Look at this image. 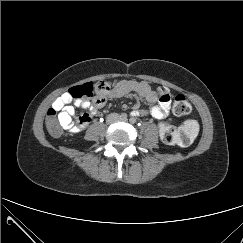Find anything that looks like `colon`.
Listing matches in <instances>:
<instances>
[{"label":"colon","mask_w":243,"mask_h":243,"mask_svg":"<svg viewBox=\"0 0 243 243\" xmlns=\"http://www.w3.org/2000/svg\"><path fill=\"white\" fill-rule=\"evenodd\" d=\"M110 84L106 81H99L97 83H84L72 87L68 92L73 99H85L93 97L94 93L106 94L110 90ZM161 100H165L170 96L169 91L166 88L156 89ZM191 111V105L188 100L181 94L174 97L173 112L178 116L189 114ZM90 121L88 114H83L79 118L80 124H85ZM46 127L48 132L55 137L62 134V125L58 119L57 111L54 108H50L46 115ZM160 137L166 144H177L181 146L189 145L197 136L199 125L195 120L185 121L179 129L174 128L168 124H160Z\"/></svg>","instance_id":"1"}]
</instances>
